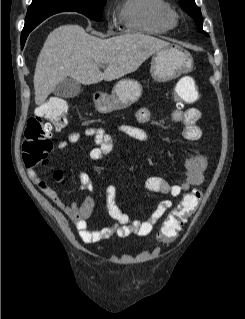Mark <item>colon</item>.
Returning a JSON list of instances; mask_svg holds the SVG:
<instances>
[{"instance_id":"1","label":"colon","mask_w":245,"mask_h":319,"mask_svg":"<svg viewBox=\"0 0 245 319\" xmlns=\"http://www.w3.org/2000/svg\"><path fill=\"white\" fill-rule=\"evenodd\" d=\"M195 98H199V92L195 86L191 90L176 88V99L179 106L191 103ZM68 108V103L64 99L56 98L41 104L39 113L28 119L22 144V160L27 168L33 169L47 163L53 148L51 136L66 125ZM54 177L60 180L61 174L56 172ZM46 185V183L42 184V186ZM201 200V190H193L186 194L179 205L169 213L158 238L164 243L173 241Z\"/></svg>"}]
</instances>
